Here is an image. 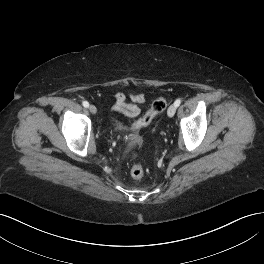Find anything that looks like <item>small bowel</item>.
<instances>
[{
	"label": "small bowel",
	"instance_id": "1",
	"mask_svg": "<svg viewBox=\"0 0 264 264\" xmlns=\"http://www.w3.org/2000/svg\"><path fill=\"white\" fill-rule=\"evenodd\" d=\"M145 93H129V98L133 103L127 102V96L123 92H118L115 95V104L113 110L127 117H136L141 110L137 104H142L146 101Z\"/></svg>",
	"mask_w": 264,
	"mask_h": 264
}]
</instances>
